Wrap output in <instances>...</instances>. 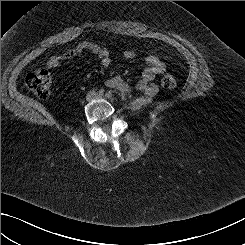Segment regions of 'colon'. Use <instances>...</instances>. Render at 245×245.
<instances>
[{"mask_svg": "<svg viewBox=\"0 0 245 245\" xmlns=\"http://www.w3.org/2000/svg\"><path fill=\"white\" fill-rule=\"evenodd\" d=\"M26 86L40 99H46L51 94L52 75L47 69H39L26 77ZM176 79L166 74L161 79V85L165 89L176 87Z\"/></svg>", "mask_w": 245, "mask_h": 245, "instance_id": "1", "label": "colon"}]
</instances>
